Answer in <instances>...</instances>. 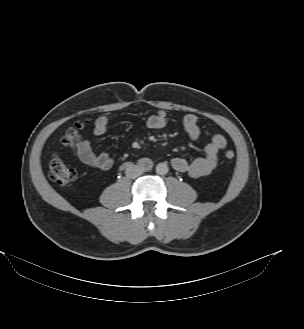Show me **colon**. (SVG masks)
<instances>
[{
	"mask_svg": "<svg viewBox=\"0 0 304 329\" xmlns=\"http://www.w3.org/2000/svg\"><path fill=\"white\" fill-rule=\"evenodd\" d=\"M84 122L78 123L75 127L70 128L61 138V150L66 151L74 147L76 142L81 138V133L85 129ZM224 157L226 160H233L235 152L233 149L227 147L224 150ZM50 177L61 186H66L74 182L77 177V171L62 161L57 155L53 156L50 162Z\"/></svg>",
	"mask_w": 304,
	"mask_h": 329,
	"instance_id": "obj_1",
	"label": "colon"
}]
</instances>
